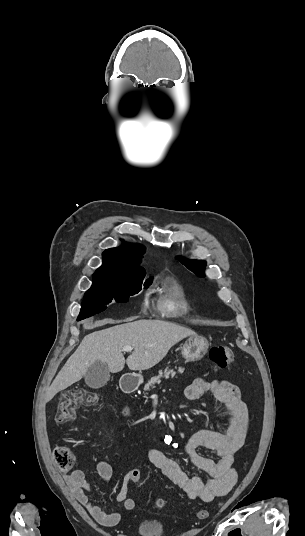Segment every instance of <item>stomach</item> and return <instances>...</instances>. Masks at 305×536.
Instances as JSON below:
<instances>
[{"instance_id": "stomach-1", "label": "stomach", "mask_w": 305, "mask_h": 536, "mask_svg": "<svg viewBox=\"0 0 305 536\" xmlns=\"http://www.w3.org/2000/svg\"><path fill=\"white\" fill-rule=\"evenodd\" d=\"M208 348L209 342H207L206 338H202V336H191V338H188L185 344H183L181 354L185 360H189V362H197V360H201V358L207 354ZM132 380H134L135 388L140 386L143 382L142 376H129V384H131Z\"/></svg>"}]
</instances>
